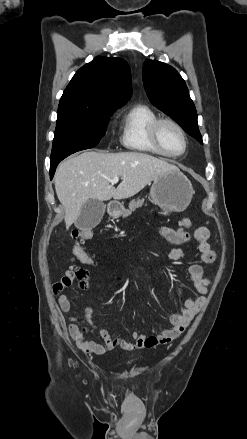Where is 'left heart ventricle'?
<instances>
[{"label":"left heart ventricle","instance_id":"1","mask_svg":"<svg viewBox=\"0 0 247 439\" xmlns=\"http://www.w3.org/2000/svg\"><path fill=\"white\" fill-rule=\"evenodd\" d=\"M160 141L163 148L172 154H177L183 150L184 142L180 133L171 125L164 124L160 128Z\"/></svg>","mask_w":247,"mask_h":439}]
</instances>
